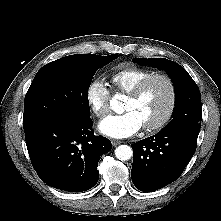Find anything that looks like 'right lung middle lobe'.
Here are the masks:
<instances>
[{
  "label": "right lung middle lobe",
  "mask_w": 221,
  "mask_h": 221,
  "mask_svg": "<svg viewBox=\"0 0 221 221\" xmlns=\"http://www.w3.org/2000/svg\"><path fill=\"white\" fill-rule=\"evenodd\" d=\"M117 58L76 54L43 66L25 96L24 132L53 119L90 120L87 92L97 69Z\"/></svg>",
  "instance_id": "right-lung-middle-lobe-1"
}]
</instances>
